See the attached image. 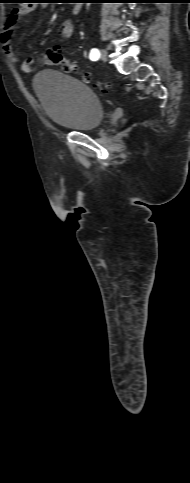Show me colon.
Listing matches in <instances>:
<instances>
[{
    "label": "colon",
    "mask_w": 190,
    "mask_h": 483,
    "mask_svg": "<svg viewBox=\"0 0 190 483\" xmlns=\"http://www.w3.org/2000/svg\"><path fill=\"white\" fill-rule=\"evenodd\" d=\"M45 62L51 66L60 67L64 72H76L77 66L74 62L70 61L69 59L65 58L59 51L51 50L47 52L44 56ZM82 78L85 82H90V77L87 74H83ZM109 85H106L105 88H108Z\"/></svg>",
    "instance_id": "obj_1"
}]
</instances>
